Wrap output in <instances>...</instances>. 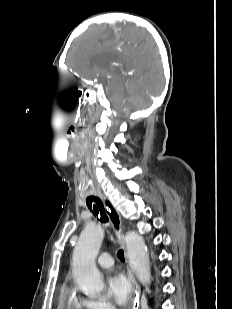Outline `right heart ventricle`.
I'll list each match as a JSON object with an SVG mask.
<instances>
[{
	"label": "right heart ventricle",
	"instance_id": "e07e8e85",
	"mask_svg": "<svg viewBox=\"0 0 232 309\" xmlns=\"http://www.w3.org/2000/svg\"><path fill=\"white\" fill-rule=\"evenodd\" d=\"M65 309H84L81 304V299L77 297L69 298L64 304Z\"/></svg>",
	"mask_w": 232,
	"mask_h": 309
}]
</instances>
